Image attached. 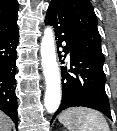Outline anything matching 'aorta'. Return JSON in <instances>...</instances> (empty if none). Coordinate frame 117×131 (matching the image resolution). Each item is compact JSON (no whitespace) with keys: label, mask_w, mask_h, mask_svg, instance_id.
Returning <instances> with one entry per match:
<instances>
[{"label":"aorta","mask_w":117,"mask_h":131,"mask_svg":"<svg viewBox=\"0 0 117 131\" xmlns=\"http://www.w3.org/2000/svg\"><path fill=\"white\" fill-rule=\"evenodd\" d=\"M40 53L46 84L44 106L48 113H54L61 103V77L56 60L54 32L51 27H46L44 30Z\"/></svg>","instance_id":"762f6f07"}]
</instances>
